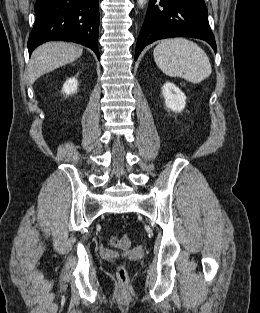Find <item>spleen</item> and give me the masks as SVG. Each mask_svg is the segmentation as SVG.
I'll return each instance as SVG.
<instances>
[{"label": "spleen", "mask_w": 260, "mask_h": 313, "mask_svg": "<svg viewBox=\"0 0 260 313\" xmlns=\"http://www.w3.org/2000/svg\"><path fill=\"white\" fill-rule=\"evenodd\" d=\"M154 60L163 73L197 84L210 76L211 64L204 50L196 43L182 38L160 41L155 47Z\"/></svg>", "instance_id": "1"}]
</instances>
